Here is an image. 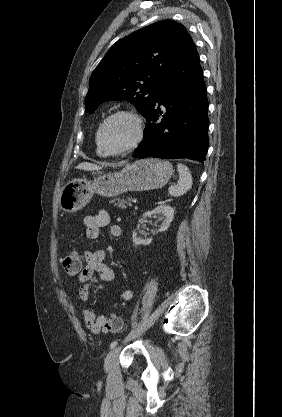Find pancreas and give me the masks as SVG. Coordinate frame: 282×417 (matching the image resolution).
Returning a JSON list of instances; mask_svg holds the SVG:
<instances>
[{"instance_id": "obj_1", "label": "pancreas", "mask_w": 282, "mask_h": 417, "mask_svg": "<svg viewBox=\"0 0 282 417\" xmlns=\"http://www.w3.org/2000/svg\"><path fill=\"white\" fill-rule=\"evenodd\" d=\"M110 202H115V206H121V209H126V204H129V206H132L131 196H125V198H120V196H118V198H112Z\"/></svg>"}]
</instances>
